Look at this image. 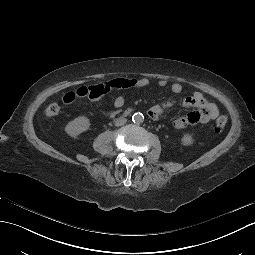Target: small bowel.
<instances>
[{
	"label": "small bowel",
	"instance_id": "small-bowel-1",
	"mask_svg": "<svg viewBox=\"0 0 255 255\" xmlns=\"http://www.w3.org/2000/svg\"><path fill=\"white\" fill-rule=\"evenodd\" d=\"M150 84L148 78H116L108 82H98L92 85H81L77 88L68 91L63 96V102L69 104L76 98L87 97L92 101H98L106 94L113 90H126V89H138L147 87ZM157 85L160 87H166L168 85L167 80L160 79L157 81ZM182 85L179 82H173L170 84V89L173 93L178 94L182 91ZM125 103V97L119 95L114 99V106L120 108ZM175 101L169 99L161 104L153 106L149 114L152 118L157 119L165 109L173 106ZM183 105L185 107H194L196 110L189 112L188 114L178 117L174 120L173 125L177 129L185 128L188 125L204 124L215 119L219 114V109L216 104L208 101L200 92H194L193 94L183 99Z\"/></svg>",
	"mask_w": 255,
	"mask_h": 255
}]
</instances>
